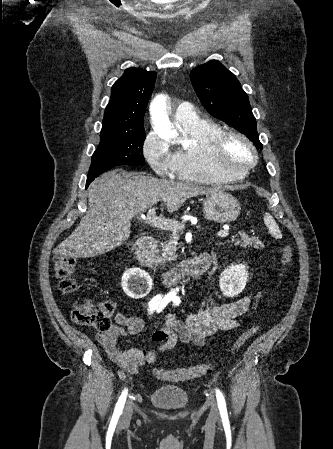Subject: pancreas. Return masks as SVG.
Masks as SVG:
<instances>
[{"mask_svg": "<svg viewBox=\"0 0 333 449\" xmlns=\"http://www.w3.org/2000/svg\"><path fill=\"white\" fill-rule=\"evenodd\" d=\"M234 237H238V239H233V242H235L236 245H240L244 248L253 247L255 249H258L261 245L258 238L249 236L246 232L243 231H240ZM179 238V232L173 233L171 235L170 241L165 245L163 253L161 254V256L157 257L158 262H166L177 258V255L175 254V243L179 240Z\"/></svg>", "mask_w": 333, "mask_h": 449, "instance_id": "obj_1", "label": "pancreas"}]
</instances>
